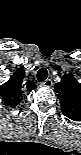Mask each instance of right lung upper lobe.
<instances>
[{
	"label": "right lung upper lobe",
	"instance_id": "obj_1",
	"mask_svg": "<svg viewBox=\"0 0 81 155\" xmlns=\"http://www.w3.org/2000/svg\"><path fill=\"white\" fill-rule=\"evenodd\" d=\"M25 71L21 67L14 72L10 79L0 87V96L5 105L15 107L21 101L22 90L36 89V85L26 81Z\"/></svg>",
	"mask_w": 81,
	"mask_h": 155
}]
</instances>
